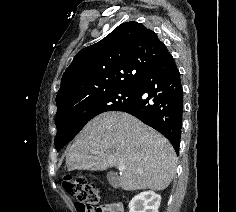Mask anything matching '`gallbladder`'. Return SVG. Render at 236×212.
Returning <instances> with one entry per match:
<instances>
[{"instance_id":"gallbladder-1","label":"gallbladder","mask_w":236,"mask_h":212,"mask_svg":"<svg viewBox=\"0 0 236 212\" xmlns=\"http://www.w3.org/2000/svg\"><path fill=\"white\" fill-rule=\"evenodd\" d=\"M107 179H108V181H109V183H110L111 185H113V186H118L119 181H118L117 176H116L114 173L109 172V173L107 174Z\"/></svg>"}]
</instances>
